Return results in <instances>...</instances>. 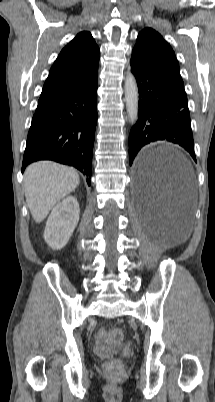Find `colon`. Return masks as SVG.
Here are the masks:
<instances>
[{"mask_svg": "<svg viewBox=\"0 0 215 402\" xmlns=\"http://www.w3.org/2000/svg\"><path fill=\"white\" fill-rule=\"evenodd\" d=\"M99 337L109 344L116 345L123 340V332L120 329H104L98 332ZM122 364L120 360H111L106 364V371L111 376H116L121 372Z\"/></svg>", "mask_w": 215, "mask_h": 402, "instance_id": "1", "label": "colon"}]
</instances>
